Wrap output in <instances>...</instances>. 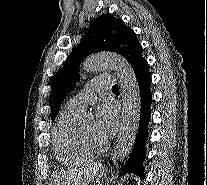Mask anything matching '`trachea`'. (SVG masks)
Listing matches in <instances>:
<instances>
[{"mask_svg":"<svg viewBox=\"0 0 207 185\" xmlns=\"http://www.w3.org/2000/svg\"><path fill=\"white\" fill-rule=\"evenodd\" d=\"M112 90H119V86L118 85H113Z\"/></svg>","mask_w":207,"mask_h":185,"instance_id":"trachea-1","label":"trachea"}]
</instances>
